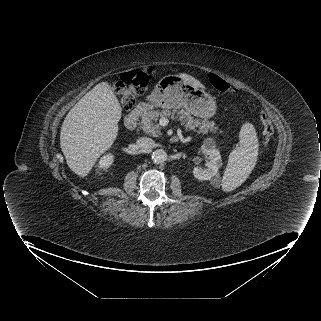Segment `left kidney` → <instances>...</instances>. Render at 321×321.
Masks as SVG:
<instances>
[{
    "label": "left kidney",
    "instance_id": "1",
    "mask_svg": "<svg viewBox=\"0 0 321 321\" xmlns=\"http://www.w3.org/2000/svg\"><path fill=\"white\" fill-rule=\"evenodd\" d=\"M201 150L209 156L210 161L207 163V168L195 167L193 175L198 180H211L222 166L221 155L211 139L205 141Z\"/></svg>",
    "mask_w": 321,
    "mask_h": 321
}]
</instances>
